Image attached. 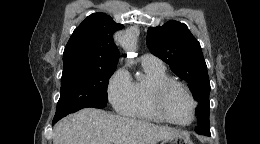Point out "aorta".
<instances>
[{"label":"aorta","mask_w":260,"mask_h":144,"mask_svg":"<svg viewBox=\"0 0 260 144\" xmlns=\"http://www.w3.org/2000/svg\"><path fill=\"white\" fill-rule=\"evenodd\" d=\"M137 44V34L134 31L127 32L122 40V46L127 52L134 51Z\"/></svg>","instance_id":"762f6f07"}]
</instances>
